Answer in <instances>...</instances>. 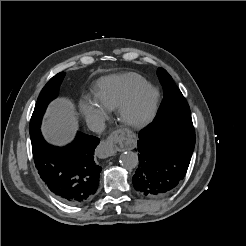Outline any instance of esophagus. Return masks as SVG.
<instances>
[{"instance_id":"esophagus-1","label":"esophagus","mask_w":246,"mask_h":246,"mask_svg":"<svg viewBox=\"0 0 246 246\" xmlns=\"http://www.w3.org/2000/svg\"><path fill=\"white\" fill-rule=\"evenodd\" d=\"M118 136V132H115L107 140L101 141L97 148V155L100 158H107L115 154V140Z\"/></svg>"}]
</instances>
